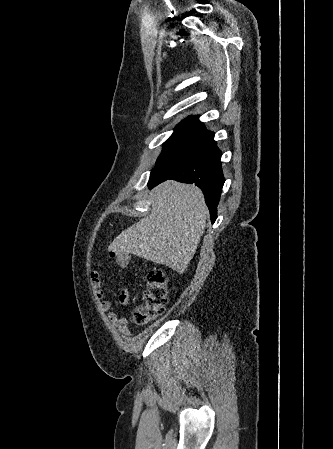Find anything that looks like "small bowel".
<instances>
[{
	"mask_svg": "<svg viewBox=\"0 0 333 449\" xmlns=\"http://www.w3.org/2000/svg\"><path fill=\"white\" fill-rule=\"evenodd\" d=\"M93 291L100 310L109 313V317L117 329L125 336L129 335L127 327V320L124 317H119L114 311L112 303L105 298V290L102 283V276L100 271L95 270L91 275ZM130 300V290L124 286L118 294V302L125 306Z\"/></svg>",
	"mask_w": 333,
	"mask_h": 449,
	"instance_id": "1",
	"label": "small bowel"
}]
</instances>
